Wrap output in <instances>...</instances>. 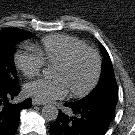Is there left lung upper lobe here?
Here are the masks:
<instances>
[{
	"instance_id": "obj_1",
	"label": "left lung upper lobe",
	"mask_w": 135,
	"mask_h": 135,
	"mask_svg": "<svg viewBox=\"0 0 135 135\" xmlns=\"http://www.w3.org/2000/svg\"><path fill=\"white\" fill-rule=\"evenodd\" d=\"M104 59L102 61V73L98 85L85 98L76 101L80 103L94 102L99 100L118 99V89L114 76L112 62L106 49L101 45Z\"/></svg>"
}]
</instances>
